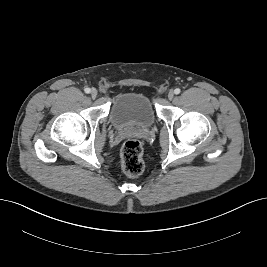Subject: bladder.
<instances>
[{
	"label": "bladder",
	"mask_w": 267,
	"mask_h": 267,
	"mask_svg": "<svg viewBox=\"0 0 267 267\" xmlns=\"http://www.w3.org/2000/svg\"><path fill=\"white\" fill-rule=\"evenodd\" d=\"M109 119L118 127L146 128L155 122L156 112L146 93L127 91L113 99Z\"/></svg>",
	"instance_id": "bladder-1"
}]
</instances>
